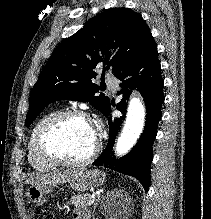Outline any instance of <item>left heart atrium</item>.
I'll list each match as a JSON object with an SVG mask.
<instances>
[{
  "label": "left heart atrium",
  "mask_w": 211,
  "mask_h": 219,
  "mask_svg": "<svg viewBox=\"0 0 211 219\" xmlns=\"http://www.w3.org/2000/svg\"><path fill=\"white\" fill-rule=\"evenodd\" d=\"M92 131H93V135H94L95 139L97 140L99 133H100L99 125L97 124V125L92 126Z\"/></svg>",
  "instance_id": "39dd6f15"
}]
</instances>
